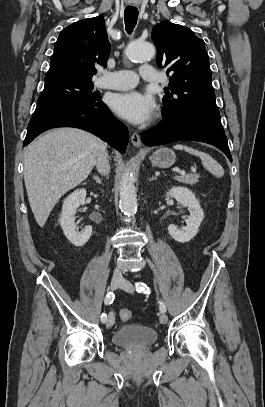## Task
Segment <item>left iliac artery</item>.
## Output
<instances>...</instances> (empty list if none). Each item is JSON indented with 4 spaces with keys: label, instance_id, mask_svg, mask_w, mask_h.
<instances>
[{
    "label": "left iliac artery",
    "instance_id": "left-iliac-artery-1",
    "mask_svg": "<svg viewBox=\"0 0 265 407\" xmlns=\"http://www.w3.org/2000/svg\"><path fill=\"white\" fill-rule=\"evenodd\" d=\"M136 291L139 293H144V294H150V288L143 282H138L136 283ZM160 312L165 313L166 312V305L163 301H160Z\"/></svg>",
    "mask_w": 265,
    "mask_h": 407
}]
</instances>
